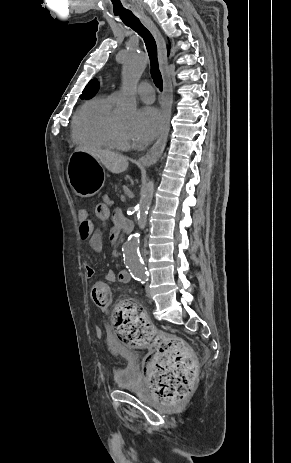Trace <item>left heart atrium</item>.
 <instances>
[{
    "instance_id": "1",
    "label": "left heart atrium",
    "mask_w": 291,
    "mask_h": 463,
    "mask_svg": "<svg viewBox=\"0 0 291 463\" xmlns=\"http://www.w3.org/2000/svg\"><path fill=\"white\" fill-rule=\"evenodd\" d=\"M163 129V116L154 107H143L137 113V119L131 130L132 136L140 143L153 140Z\"/></svg>"
}]
</instances>
